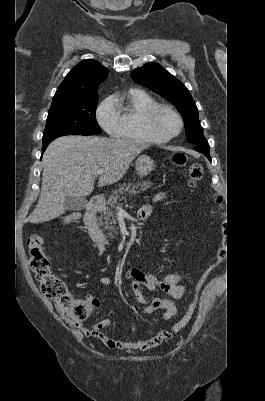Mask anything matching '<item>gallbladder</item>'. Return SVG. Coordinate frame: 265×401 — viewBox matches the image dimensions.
<instances>
[{
  "label": "gallbladder",
  "instance_id": "gallbladder-1",
  "mask_svg": "<svg viewBox=\"0 0 265 401\" xmlns=\"http://www.w3.org/2000/svg\"><path fill=\"white\" fill-rule=\"evenodd\" d=\"M87 203L85 196H65V207L68 211H83Z\"/></svg>",
  "mask_w": 265,
  "mask_h": 401
}]
</instances>
